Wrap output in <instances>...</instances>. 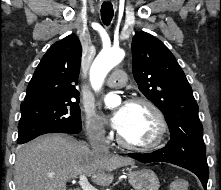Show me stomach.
Instances as JSON below:
<instances>
[{"label": "stomach", "instance_id": "1", "mask_svg": "<svg viewBox=\"0 0 221 190\" xmlns=\"http://www.w3.org/2000/svg\"><path fill=\"white\" fill-rule=\"evenodd\" d=\"M128 181L135 190H158L160 186L157 175L150 169L130 170Z\"/></svg>", "mask_w": 221, "mask_h": 190}]
</instances>
